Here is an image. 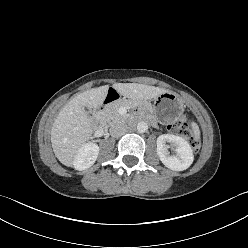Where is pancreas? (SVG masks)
Segmentation results:
<instances>
[{"label":"pancreas","instance_id":"cf45deb5","mask_svg":"<svg viewBox=\"0 0 248 248\" xmlns=\"http://www.w3.org/2000/svg\"><path fill=\"white\" fill-rule=\"evenodd\" d=\"M126 105H127V102L122 101L119 104L106 108L104 111V120L109 124H113L115 122L126 120L127 117L125 115L119 114L118 112L121 106H126Z\"/></svg>","mask_w":248,"mask_h":248}]
</instances>
